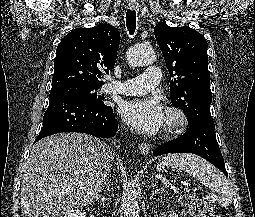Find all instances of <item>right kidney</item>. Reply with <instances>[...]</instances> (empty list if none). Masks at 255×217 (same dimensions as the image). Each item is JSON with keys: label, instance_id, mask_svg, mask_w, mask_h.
<instances>
[{"label": "right kidney", "instance_id": "ca27d5eb", "mask_svg": "<svg viewBox=\"0 0 255 217\" xmlns=\"http://www.w3.org/2000/svg\"><path fill=\"white\" fill-rule=\"evenodd\" d=\"M87 213L82 210H69L66 211L61 217H86Z\"/></svg>", "mask_w": 255, "mask_h": 217}]
</instances>
